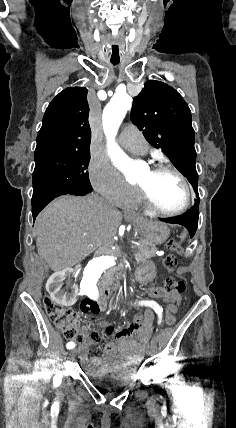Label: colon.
I'll return each mask as SVG.
<instances>
[{"mask_svg":"<svg viewBox=\"0 0 236 428\" xmlns=\"http://www.w3.org/2000/svg\"><path fill=\"white\" fill-rule=\"evenodd\" d=\"M169 247L176 251L181 252V244L177 239H171L169 241ZM177 257L173 254L167 255L163 264L169 272H173L177 267ZM165 289L172 295L179 296L185 291V283L183 280L176 277H168L164 280ZM44 306L50 320L55 324V326L60 329L68 340H73L81 345L87 343L86 336L82 331V325L78 318L77 313L63 306L58 305L50 296L44 297ZM81 311L83 313H93L96 314L100 311V307L97 303L93 302L90 299H85L81 304ZM176 311V304H173L169 307L166 314V322L171 324L174 322V312ZM142 324L141 316H136L133 318L131 325L134 327H139Z\"/></svg>","mask_w":236,"mask_h":428,"instance_id":"5ec220e1","label":"colon"}]
</instances>
